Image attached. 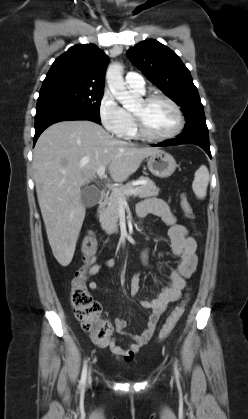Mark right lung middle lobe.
I'll return each mask as SVG.
<instances>
[{
	"instance_id": "right-lung-middle-lobe-1",
	"label": "right lung middle lobe",
	"mask_w": 248,
	"mask_h": 419,
	"mask_svg": "<svg viewBox=\"0 0 248 419\" xmlns=\"http://www.w3.org/2000/svg\"><path fill=\"white\" fill-rule=\"evenodd\" d=\"M104 90L82 87L55 86L42 88L37 101V113L53 109H78L100 119V104Z\"/></svg>"
}]
</instances>
